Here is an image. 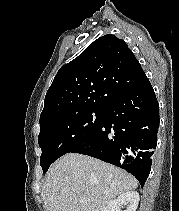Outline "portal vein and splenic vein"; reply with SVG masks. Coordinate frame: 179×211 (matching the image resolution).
Segmentation results:
<instances>
[{"mask_svg": "<svg viewBox=\"0 0 179 211\" xmlns=\"http://www.w3.org/2000/svg\"><path fill=\"white\" fill-rule=\"evenodd\" d=\"M81 203H86V199H80Z\"/></svg>", "mask_w": 179, "mask_h": 211, "instance_id": "obj_1", "label": "portal vein and splenic vein"}]
</instances>
